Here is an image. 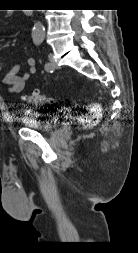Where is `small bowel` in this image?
<instances>
[{
  "instance_id": "obj_1",
  "label": "small bowel",
  "mask_w": 138,
  "mask_h": 253,
  "mask_svg": "<svg viewBox=\"0 0 138 253\" xmlns=\"http://www.w3.org/2000/svg\"><path fill=\"white\" fill-rule=\"evenodd\" d=\"M28 70L22 75H19L21 65H14L2 78V84L7 87V92L11 95H19L26 87L30 76L36 72V60L30 57L26 61ZM2 66L0 64V71Z\"/></svg>"
}]
</instances>
